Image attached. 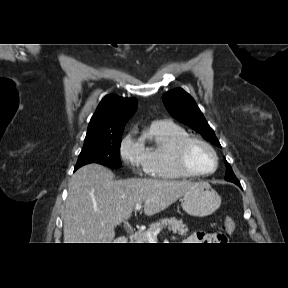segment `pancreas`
<instances>
[{"instance_id": "pancreas-1", "label": "pancreas", "mask_w": 288, "mask_h": 288, "mask_svg": "<svg viewBox=\"0 0 288 288\" xmlns=\"http://www.w3.org/2000/svg\"><path fill=\"white\" fill-rule=\"evenodd\" d=\"M163 226H168L169 230H171L174 234L178 233L181 236H185L188 231V228L182 220H177L175 217L164 218L161 219L159 222L150 224L147 231L136 232L133 236V240L135 241V243H147V232H154Z\"/></svg>"}]
</instances>
